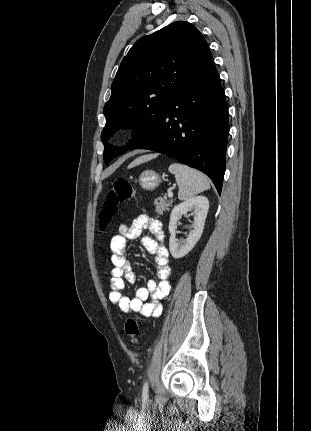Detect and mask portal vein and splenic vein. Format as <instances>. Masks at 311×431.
Wrapping results in <instances>:
<instances>
[{
    "label": "portal vein and splenic vein",
    "instance_id": "18ae733b",
    "mask_svg": "<svg viewBox=\"0 0 311 431\" xmlns=\"http://www.w3.org/2000/svg\"><path fill=\"white\" fill-rule=\"evenodd\" d=\"M167 194H168V198H173L172 190H168Z\"/></svg>",
    "mask_w": 311,
    "mask_h": 431
}]
</instances>
